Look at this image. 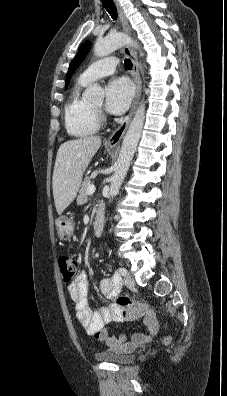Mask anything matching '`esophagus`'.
<instances>
[{"mask_svg": "<svg viewBox=\"0 0 227 396\" xmlns=\"http://www.w3.org/2000/svg\"><path fill=\"white\" fill-rule=\"evenodd\" d=\"M114 3L116 5V8H117V11L119 14V18H120V21L122 24L123 31L130 35L131 29H130V25L128 23L127 17L124 13V10L121 7L118 0H114ZM123 51H124V54L131 60V62L133 64L132 78H133V81L135 84V96H134L132 107H131L128 115L124 118V120L121 122V124L118 126V128L110 135V137L107 140V143L109 145H113V146L119 144L120 141L122 140L128 126L131 122V119L135 113V110H136L138 102H139L140 94H141V79H140V68H139L138 60L129 45H126L124 47Z\"/></svg>", "mask_w": 227, "mask_h": 396, "instance_id": "1", "label": "esophagus"}]
</instances>
